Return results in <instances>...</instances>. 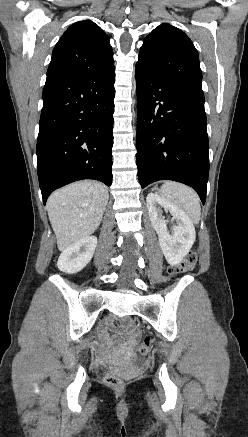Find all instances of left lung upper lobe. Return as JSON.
<instances>
[{
  "mask_svg": "<svg viewBox=\"0 0 248 437\" xmlns=\"http://www.w3.org/2000/svg\"><path fill=\"white\" fill-rule=\"evenodd\" d=\"M136 69L202 90L198 52L184 32L169 24H161L144 39Z\"/></svg>",
  "mask_w": 248,
  "mask_h": 437,
  "instance_id": "left-lung-upper-lobe-1",
  "label": "left lung upper lobe"
}]
</instances>
